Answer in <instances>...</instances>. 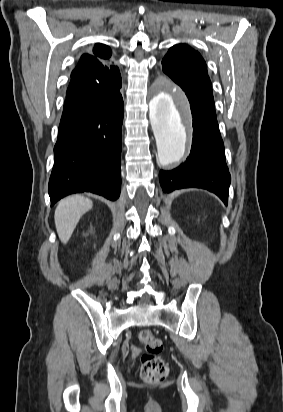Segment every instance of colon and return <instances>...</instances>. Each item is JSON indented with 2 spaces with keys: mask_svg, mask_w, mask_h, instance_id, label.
<instances>
[{
  "mask_svg": "<svg viewBox=\"0 0 283 412\" xmlns=\"http://www.w3.org/2000/svg\"><path fill=\"white\" fill-rule=\"evenodd\" d=\"M138 340L146 349V352L141 356V378L149 384L163 382L167 378L169 370L166 362L158 356L162 350L161 340L150 330H141L138 334Z\"/></svg>",
  "mask_w": 283,
  "mask_h": 412,
  "instance_id": "1",
  "label": "colon"
}]
</instances>
